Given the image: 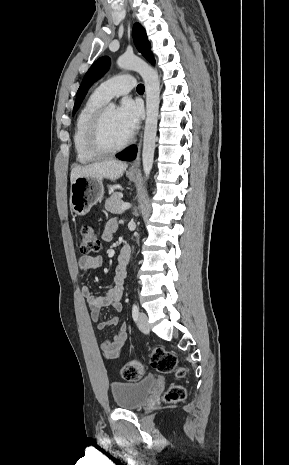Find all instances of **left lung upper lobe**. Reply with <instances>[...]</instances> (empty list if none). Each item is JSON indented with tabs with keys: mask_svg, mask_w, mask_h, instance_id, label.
<instances>
[{
	"mask_svg": "<svg viewBox=\"0 0 289 465\" xmlns=\"http://www.w3.org/2000/svg\"><path fill=\"white\" fill-rule=\"evenodd\" d=\"M133 38L137 49L144 55L146 59L154 63V58L150 51V44L148 42L146 32L139 23L134 24ZM109 66L110 59L107 56L101 57L94 62V64L85 74L82 83L78 89L73 111H76L79 108L82 100L84 99L87 93V90L96 80L101 78L106 73Z\"/></svg>",
	"mask_w": 289,
	"mask_h": 465,
	"instance_id": "obj_1",
	"label": "left lung upper lobe"
}]
</instances>
